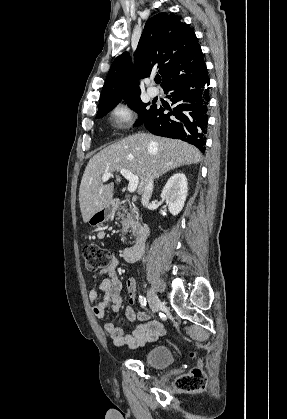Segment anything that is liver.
I'll use <instances>...</instances> for the list:
<instances>
[{"label": "liver", "instance_id": "1", "mask_svg": "<svg viewBox=\"0 0 287 419\" xmlns=\"http://www.w3.org/2000/svg\"><path fill=\"white\" fill-rule=\"evenodd\" d=\"M201 158V152L186 142L147 133L133 134L107 146L89 160L81 180L79 204L83 221L88 222L112 201L114 183L104 185L103 174L129 170L139 177L138 193H142L149 176L158 178L175 168L197 164ZM115 178L119 184L120 175Z\"/></svg>", "mask_w": 287, "mask_h": 419}]
</instances>
